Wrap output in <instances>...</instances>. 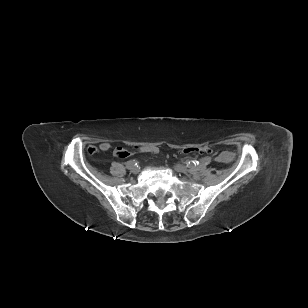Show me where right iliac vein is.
Here are the masks:
<instances>
[{"instance_id": "right-iliac-vein-1", "label": "right iliac vein", "mask_w": 308, "mask_h": 308, "mask_svg": "<svg viewBox=\"0 0 308 308\" xmlns=\"http://www.w3.org/2000/svg\"><path fill=\"white\" fill-rule=\"evenodd\" d=\"M131 172H132L133 174H138V173H139V168H138V167H133V168L131 169Z\"/></svg>"}]
</instances>
